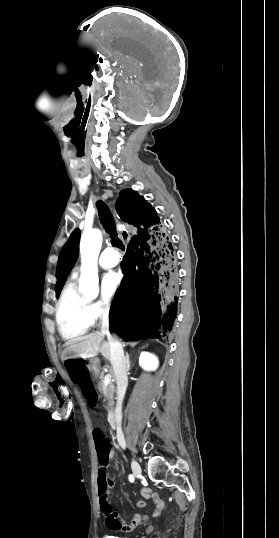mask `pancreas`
Here are the masks:
<instances>
[{"mask_svg":"<svg viewBox=\"0 0 279 538\" xmlns=\"http://www.w3.org/2000/svg\"><path fill=\"white\" fill-rule=\"evenodd\" d=\"M97 362H99V360H97ZM98 390L100 394H105L106 400L108 402L107 410H109V412H112V406L114 404V392H116V390H115L114 384H108V386H106L105 388L104 374H100V382H98Z\"/></svg>","mask_w":279,"mask_h":538,"instance_id":"pancreas-1","label":"pancreas"}]
</instances>
